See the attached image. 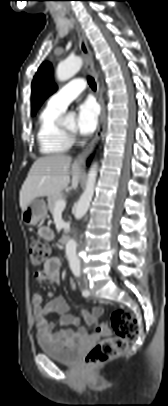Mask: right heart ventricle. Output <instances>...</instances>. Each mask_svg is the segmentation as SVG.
Segmentation results:
<instances>
[{
    "instance_id": "obj_1",
    "label": "right heart ventricle",
    "mask_w": 168,
    "mask_h": 406,
    "mask_svg": "<svg viewBox=\"0 0 168 406\" xmlns=\"http://www.w3.org/2000/svg\"><path fill=\"white\" fill-rule=\"evenodd\" d=\"M63 110L47 105L39 116L37 141L41 153L46 155L66 152L71 144V138L63 131L58 123Z\"/></svg>"
}]
</instances>
